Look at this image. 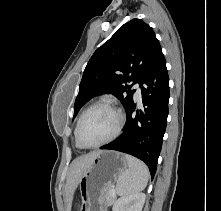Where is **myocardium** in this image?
Instances as JSON below:
<instances>
[{"mask_svg":"<svg viewBox=\"0 0 221 211\" xmlns=\"http://www.w3.org/2000/svg\"><path fill=\"white\" fill-rule=\"evenodd\" d=\"M97 107H106V108L112 110L116 114L117 124H116L114 132L108 138H106L105 140L98 142L96 144L88 145V144L83 143L81 140V137H80L81 126H82L85 116L91 110H93L94 108H97ZM123 125H124V115H123L122 111L116 105H114L113 103H111L109 101H105V100L97 101V102L91 104L88 108H86L82 112V114L80 115L78 122H77V126H76V134H75L76 141L79 144V146L82 148L101 147L103 145H106V144L114 141L120 135Z\"/></svg>","mask_w":221,"mask_h":211,"instance_id":"myocardium-1","label":"myocardium"}]
</instances>
